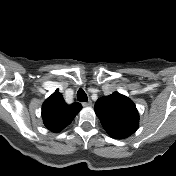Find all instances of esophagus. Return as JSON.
I'll list each match as a JSON object with an SVG mask.
<instances>
[{
  "label": "esophagus",
  "mask_w": 176,
  "mask_h": 176,
  "mask_svg": "<svg viewBox=\"0 0 176 176\" xmlns=\"http://www.w3.org/2000/svg\"><path fill=\"white\" fill-rule=\"evenodd\" d=\"M84 107H91L92 106V101H87L82 104Z\"/></svg>",
  "instance_id": "obj_1"
}]
</instances>
